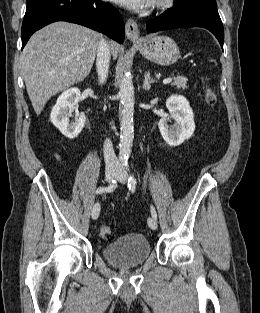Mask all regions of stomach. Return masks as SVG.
Masks as SVG:
<instances>
[{
    "mask_svg": "<svg viewBox=\"0 0 260 313\" xmlns=\"http://www.w3.org/2000/svg\"><path fill=\"white\" fill-rule=\"evenodd\" d=\"M135 43L145 58L159 65L169 66L180 58L177 44L168 36L150 35Z\"/></svg>",
    "mask_w": 260,
    "mask_h": 313,
    "instance_id": "0dacf381",
    "label": "stomach"
}]
</instances>
